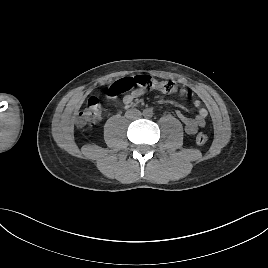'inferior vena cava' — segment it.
<instances>
[{
	"label": "inferior vena cava",
	"mask_w": 268,
	"mask_h": 268,
	"mask_svg": "<svg viewBox=\"0 0 268 268\" xmlns=\"http://www.w3.org/2000/svg\"><path fill=\"white\" fill-rule=\"evenodd\" d=\"M134 112H135V115L133 117H131V116H129V117L134 118V119H138L141 116V112L137 111V110Z\"/></svg>",
	"instance_id": "602c4592"
}]
</instances>
